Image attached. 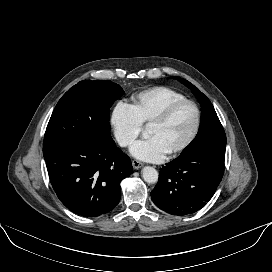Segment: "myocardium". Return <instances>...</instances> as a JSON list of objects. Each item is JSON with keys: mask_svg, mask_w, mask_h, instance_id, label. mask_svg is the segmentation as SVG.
Listing matches in <instances>:
<instances>
[{"mask_svg": "<svg viewBox=\"0 0 272 272\" xmlns=\"http://www.w3.org/2000/svg\"><path fill=\"white\" fill-rule=\"evenodd\" d=\"M184 106H190L194 110V114H195L194 126H193V129H192L190 135L188 136V138L180 146H178L177 148L168 152V155L170 157L177 156V155L181 154L182 152H184L196 139V137L199 133L200 127H201V111H200L198 105L195 102H193L191 100H187V99L174 102V103L170 104L168 107H166L162 112H160L158 115H156L149 122V125L150 124H162V123L168 121L177 110H179L180 108H182Z\"/></svg>", "mask_w": 272, "mask_h": 272, "instance_id": "f54148a6", "label": "myocardium"}]
</instances>
